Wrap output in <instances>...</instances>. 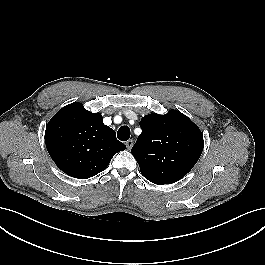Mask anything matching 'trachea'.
<instances>
[{"label": "trachea", "mask_w": 265, "mask_h": 265, "mask_svg": "<svg viewBox=\"0 0 265 265\" xmlns=\"http://www.w3.org/2000/svg\"><path fill=\"white\" fill-rule=\"evenodd\" d=\"M117 137L121 141H127L130 137V129L128 126H121L117 132Z\"/></svg>", "instance_id": "trachea-1"}]
</instances>
